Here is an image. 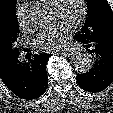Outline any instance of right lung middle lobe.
I'll return each mask as SVG.
<instances>
[{"instance_id": "right-lung-middle-lobe-1", "label": "right lung middle lobe", "mask_w": 113, "mask_h": 113, "mask_svg": "<svg viewBox=\"0 0 113 113\" xmlns=\"http://www.w3.org/2000/svg\"><path fill=\"white\" fill-rule=\"evenodd\" d=\"M15 2L10 3V11L6 18L5 23V32L2 36V46L5 51V54L9 59L13 60L18 54L17 45V37L19 35V28L16 20L15 10H14Z\"/></svg>"}]
</instances>
